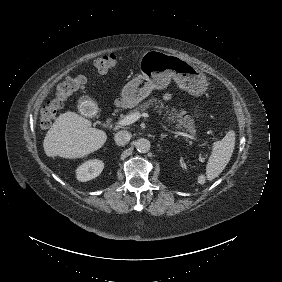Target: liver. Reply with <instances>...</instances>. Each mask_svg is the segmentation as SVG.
Wrapping results in <instances>:
<instances>
[{
  "label": "liver",
  "instance_id": "liver-1",
  "mask_svg": "<svg viewBox=\"0 0 282 282\" xmlns=\"http://www.w3.org/2000/svg\"><path fill=\"white\" fill-rule=\"evenodd\" d=\"M91 125V121L75 112L61 114L44 138L46 155L73 159L83 158L98 150L106 142L107 135Z\"/></svg>",
  "mask_w": 282,
  "mask_h": 282
}]
</instances>
